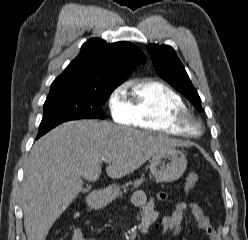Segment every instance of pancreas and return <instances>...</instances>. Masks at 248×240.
Listing matches in <instances>:
<instances>
[{"label":"pancreas","mask_w":248,"mask_h":240,"mask_svg":"<svg viewBox=\"0 0 248 240\" xmlns=\"http://www.w3.org/2000/svg\"><path fill=\"white\" fill-rule=\"evenodd\" d=\"M144 182V178H140V179H137V180H135V181H133V182H128V183H126L125 185H123V189H124V193H126L127 192V187L129 186V185H133L134 186V188H137V187H139L140 185H141V183H143ZM122 195V193H120V196Z\"/></svg>","instance_id":"obj_1"}]
</instances>
